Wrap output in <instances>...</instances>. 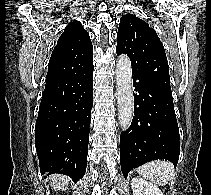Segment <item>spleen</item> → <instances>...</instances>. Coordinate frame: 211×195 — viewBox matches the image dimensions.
I'll return each mask as SVG.
<instances>
[{"label": "spleen", "instance_id": "spleen-1", "mask_svg": "<svg viewBox=\"0 0 211 195\" xmlns=\"http://www.w3.org/2000/svg\"><path fill=\"white\" fill-rule=\"evenodd\" d=\"M137 171L142 177L159 185L167 184L174 176L173 165L164 160L149 162L140 166Z\"/></svg>", "mask_w": 211, "mask_h": 195}]
</instances>
